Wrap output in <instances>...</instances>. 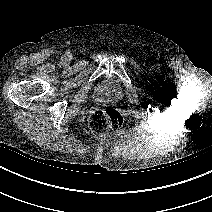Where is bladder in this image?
I'll return each instance as SVG.
<instances>
[{"label": "bladder", "mask_w": 212, "mask_h": 212, "mask_svg": "<svg viewBox=\"0 0 212 212\" xmlns=\"http://www.w3.org/2000/svg\"><path fill=\"white\" fill-rule=\"evenodd\" d=\"M96 95L103 98L120 99L123 96V92L119 85L104 82L97 87Z\"/></svg>", "instance_id": "1"}]
</instances>
